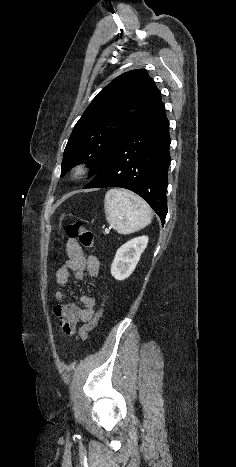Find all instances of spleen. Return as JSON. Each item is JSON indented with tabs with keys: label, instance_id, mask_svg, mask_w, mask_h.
I'll return each instance as SVG.
<instances>
[{
	"label": "spleen",
	"instance_id": "spleen-1",
	"mask_svg": "<svg viewBox=\"0 0 236 467\" xmlns=\"http://www.w3.org/2000/svg\"><path fill=\"white\" fill-rule=\"evenodd\" d=\"M108 223L120 234H130L151 223L150 206L136 194L123 189H110L104 200Z\"/></svg>",
	"mask_w": 236,
	"mask_h": 467
}]
</instances>
